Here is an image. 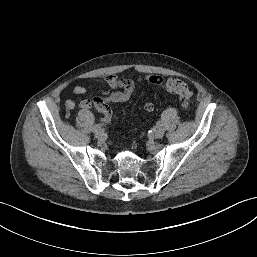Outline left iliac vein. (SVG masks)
Segmentation results:
<instances>
[{"instance_id": "1", "label": "left iliac vein", "mask_w": 257, "mask_h": 257, "mask_svg": "<svg viewBox=\"0 0 257 257\" xmlns=\"http://www.w3.org/2000/svg\"><path fill=\"white\" fill-rule=\"evenodd\" d=\"M164 135V129L160 126L157 127L156 130L154 131V137L159 139L162 138Z\"/></svg>"}]
</instances>
